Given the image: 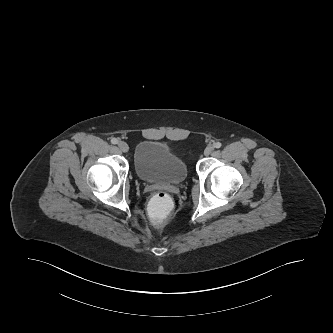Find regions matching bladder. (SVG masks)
<instances>
[{"label":"bladder","mask_w":333,"mask_h":333,"mask_svg":"<svg viewBox=\"0 0 333 333\" xmlns=\"http://www.w3.org/2000/svg\"><path fill=\"white\" fill-rule=\"evenodd\" d=\"M133 166L139 179L148 183L176 185L188 175L186 161L165 144L145 140L133 155Z\"/></svg>","instance_id":"obj_1"}]
</instances>
